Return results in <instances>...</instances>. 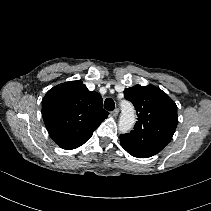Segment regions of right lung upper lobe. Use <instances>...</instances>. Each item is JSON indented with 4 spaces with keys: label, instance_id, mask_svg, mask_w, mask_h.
I'll list each match as a JSON object with an SVG mask.
<instances>
[{
    "label": "right lung upper lobe",
    "instance_id": "1",
    "mask_svg": "<svg viewBox=\"0 0 211 211\" xmlns=\"http://www.w3.org/2000/svg\"><path fill=\"white\" fill-rule=\"evenodd\" d=\"M102 97L82 81H69L51 88L42 99V117L50 137L71 150L89 140L107 118Z\"/></svg>",
    "mask_w": 211,
    "mask_h": 211
}]
</instances>
